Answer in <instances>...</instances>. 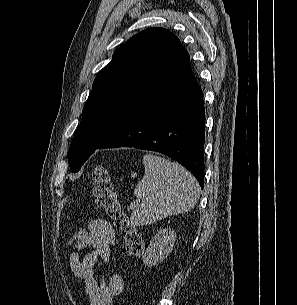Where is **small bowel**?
Masks as SVG:
<instances>
[{
  "label": "small bowel",
  "mask_w": 297,
  "mask_h": 305,
  "mask_svg": "<svg viewBox=\"0 0 297 305\" xmlns=\"http://www.w3.org/2000/svg\"><path fill=\"white\" fill-rule=\"evenodd\" d=\"M115 233L110 223L102 218L91 220L87 228L75 233L65 245L74 247L70 256V267L84 287L88 305H112L124 291V280L119 275L97 276L99 264H107L111 258V246ZM86 250H89L85 252Z\"/></svg>",
  "instance_id": "1"
}]
</instances>
